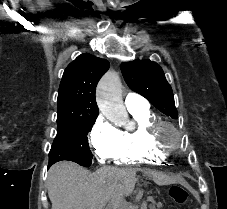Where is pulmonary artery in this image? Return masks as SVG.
<instances>
[{
    "label": "pulmonary artery",
    "mask_w": 227,
    "mask_h": 209,
    "mask_svg": "<svg viewBox=\"0 0 227 209\" xmlns=\"http://www.w3.org/2000/svg\"><path fill=\"white\" fill-rule=\"evenodd\" d=\"M124 103L128 109H131L141 105H150V100H143V95H137V91H128Z\"/></svg>",
    "instance_id": "e3ab8cb5"
}]
</instances>
